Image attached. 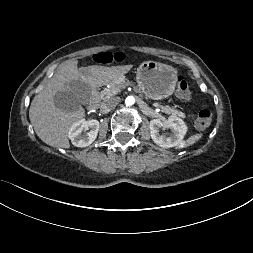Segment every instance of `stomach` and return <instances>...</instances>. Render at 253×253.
<instances>
[{
    "instance_id": "0dacf381",
    "label": "stomach",
    "mask_w": 253,
    "mask_h": 253,
    "mask_svg": "<svg viewBox=\"0 0 253 253\" xmlns=\"http://www.w3.org/2000/svg\"><path fill=\"white\" fill-rule=\"evenodd\" d=\"M177 71L168 64L145 61L137 69L140 91L148 98L161 100L171 96L177 84Z\"/></svg>"
}]
</instances>
